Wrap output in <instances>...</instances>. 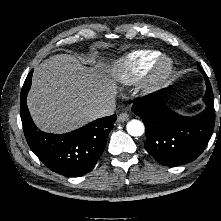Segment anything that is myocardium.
Masks as SVG:
<instances>
[{"instance_id":"myocardium-1","label":"myocardium","mask_w":221,"mask_h":221,"mask_svg":"<svg viewBox=\"0 0 221 221\" xmlns=\"http://www.w3.org/2000/svg\"><path fill=\"white\" fill-rule=\"evenodd\" d=\"M174 70L172 58L161 55L148 71V75L143 84V91L146 93L160 89L171 77Z\"/></svg>"}]
</instances>
